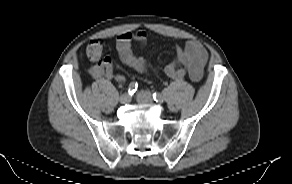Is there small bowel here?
I'll list each match as a JSON object with an SVG mask.
<instances>
[{
  "label": "small bowel",
  "instance_id": "1",
  "mask_svg": "<svg viewBox=\"0 0 292 184\" xmlns=\"http://www.w3.org/2000/svg\"><path fill=\"white\" fill-rule=\"evenodd\" d=\"M146 39L147 33L143 30L124 32L116 39V50L120 59L140 72H147L149 65L143 57L134 53L132 43L143 44ZM177 58L176 63H170L165 67L164 71L167 76L181 79L188 74L193 81H199L202 78L208 53L201 43L188 41L183 47H178ZM90 74L96 80H116L120 83L125 81L124 75L114 72L113 61L109 57L98 59L90 68Z\"/></svg>",
  "mask_w": 292,
  "mask_h": 184
}]
</instances>
